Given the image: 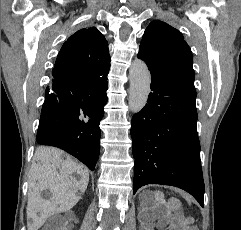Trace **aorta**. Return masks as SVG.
I'll list each match as a JSON object with an SVG mask.
<instances>
[{
	"label": "aorta",
	"instance_id": "obj_1",
	"mask_svg": "<svg viewBox=\"0 0 241 230\" xmlns=\"http://www.w3.org/2000/svg\"><path fill=\"white\" fill-rule=\"evenodd\" d=\"M129 108L133 113L140 112L147 103L151 75L147 65L139 59L133 61L130 70Z\"/></svg>",
	"mask_w": 241,
	"mask_h": 230
}]
</instances>
